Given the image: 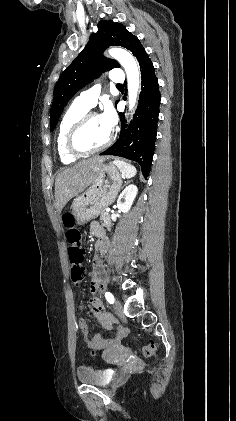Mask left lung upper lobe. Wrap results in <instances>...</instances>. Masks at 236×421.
Here are the masks:
<instances>
[{"label":"left lung upper lobe","instance_id":"1","mask_svg":"<svg viewBox=\"0 0 236 421\" xmlns=\"http://www.w3.org/2000/svg\"><path fill=\"white\" fill-rule=\"evenodd\" d=\"M113 45L125 47L133 53L141 43L123 24L112 20H101L98 23L97 33L90 36L87 46L64 70L55 86L50 111V131L54 130L63 108L79 89L97 78L103 71L120 67L116 60L102 55L106 48Z\"/></svg>","mask_w":236,"mask_h":421}]
</instances>
